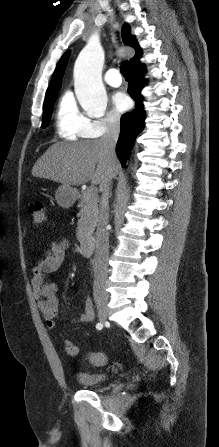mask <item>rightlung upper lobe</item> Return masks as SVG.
Masks as SVG:
<instances>
[{"instance_id":"1","label":"right lung upper lobe","mask_w":219,"mask_h":447,"mask_svg":"<svg viewBox=\"0 0 219 447\" xmlns=\"http://www.w3.org/2000/svg\"><path fill=\"white\" fill-rule=\"evenodd\" d=\"M122 39L125 45L130 46L135 49V56L130 59V67L137 65L140 63L139 59L141 57V49L135 40V38L131 35V30L129 25L125 24L122 28ZM69 57V52H66L61 59L59 60L55 72L53 74L51 83L47 89L46 98L57 94L61 87V81L64 74L65 67L67 65Z\"/></svg>"}]
</instances>
